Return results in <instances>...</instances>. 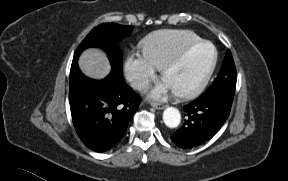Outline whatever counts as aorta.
<instances>
[{"label":"aorta","mask_w":288,"mask_h":181,"mask_svg":"<svg viewBox=\"0 0 288 181\" xmlns=\"http://www.w3.org/2000/svg\"><path fill=\"white\" fill-rule=\"evenodd\" d=\"M163 121L169 128H176L181 122V114L175 107H168L163 112Z\"/></svg>","instance_id":"1"}]
</instances>
